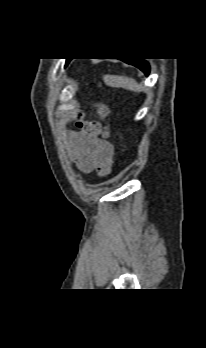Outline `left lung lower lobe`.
<instances>
[{"mask_svg":"<svg viewBox=\"0 0 206 348\" xmlns=\"http://www.w3.org/2000/svg\"><path fill=\"white\" fill-rule=\"evenodd\" d=\"M124 62L134 65L136 67H138L140 70H142L145 75L149 74L150 71V67L148 65V63L142 59H135V60H123Z\"/></svg>","mask_w":206,"mask_h":348,"instance_id":"0a47b994","label":"left lung lower lobe"}]
</instances>
